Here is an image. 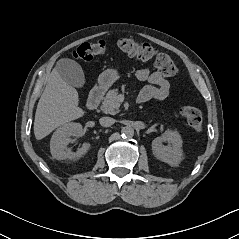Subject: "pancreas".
<instances>
[{"mask_svg":"<svg viewBox=\"0 0 239 239\" xmlns=\"http://www.w3.org/2000/svg\"><path fill=\"white\" fill-rule=\"evenodd\" d=\"M118 89L108 91L103 99L101 110L106 114L115 115L120 111V103L117 100Z\"/></svg>","mask_w":239,"mask_h":239,"instance_id":"obj_1","label":"pancreas"}]
</instances>
